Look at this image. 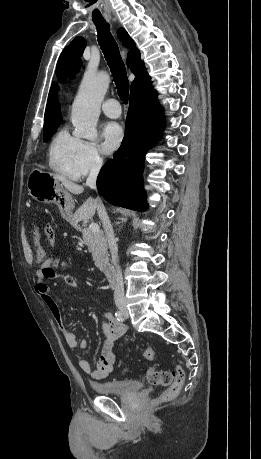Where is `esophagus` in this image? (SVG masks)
Returning a JSON list of instances; mask_svg holds the SVG:
<instances>
[{
	"label": "esophagus",
	"mask_w": 261,
	"mask_h": 459,
	"mask_svg": "<svg viewBox=\"0 0 261 459\" xmlns=\"http://www.w3.org/2000/svg\"><path fill=\"white\" fill-rule=\"evenodd\" d=\"M121 53H122V56L125 58V57H126V55H127V50H126V49H124V48H122V51H121Z\"/></svg>",
	"instance_id": "1"
}]
</instances>
